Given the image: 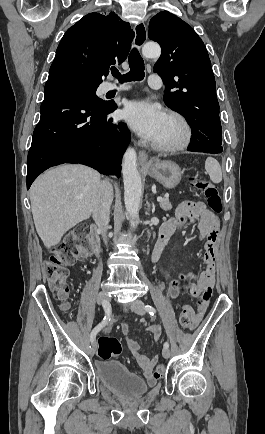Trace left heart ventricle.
I'll use <instances>...</instances> for the list:
<instances>
[{"mask_svg": "<svg viewBox=\"0 0 265 434\" xmlns=\"http://www.w3.org/2000/svg\"><path fill=\"white\" fill-rule=\"evenodd\" d=\"M179 135L177 125L169 120L166 121L164 129L162 130L158 140L155 142L157 145H169L173 143Z\"/></svg>", "mask_w": 265, "mask_h": 434, "instance_id": "1", "label": "left heart ventricle"}]
</instances>
